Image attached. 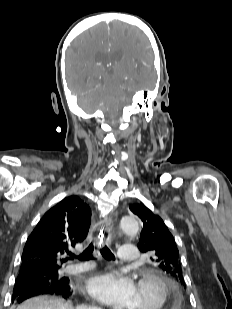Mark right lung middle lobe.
Segmentation results:
<instances>
[{
  "instance_id": "right-lung-middle-lobe-1",
  "label": "right lung middle lobe",
  "mask_w": 232,
  "mask_h": 309,
  "mask_svg": "<svg viewBox=\"0 0 232 309\" xmlns=\"http://www.w3.org/2000/svg\"><path fill=\"white\" fill-rule=\"evenodd\" d=\"M17 278L24 279V280H32L35 283L46 284L48 286L64 283V281L66 280V278H60L58 276V270L43 272V273H39V274L19 273Z\"/></svg>"
}]
</instances>
